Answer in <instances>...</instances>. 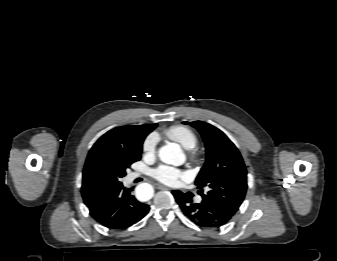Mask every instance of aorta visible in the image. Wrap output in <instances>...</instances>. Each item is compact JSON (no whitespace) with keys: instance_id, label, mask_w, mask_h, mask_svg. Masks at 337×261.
Wrapping results in <instances>:
<instances>
[{"instance_id":"obj_1","label":"aorta","mask_w":337,"mask_h":261,"mask_svg":"<svg viewBox=\"0 0 337 261\" xmlns=\"http://www.w3.org/2000/svg\"><path fill=\"white\" fill-rule=\"evenodd\" d=\"M159 158L166 164L180 166L185 162V155L177 143H168L159 149ZM136 197L141 201L149 200L153 195V188L148 183H141L135 189Z\"/></svg>"}]
</instances>
